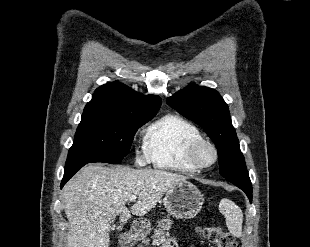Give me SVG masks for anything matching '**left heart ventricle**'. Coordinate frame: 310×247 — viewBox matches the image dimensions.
Returning a JSON list of instances; mask_svg holds the SVG:
<instances>
[{"mask_svg":"<svg viewBox=\"0 0 310 247\" xmlns=\"http://www.w3.org/2000/svg\"><path fill=\"white\" fill-rule=\"evenodd\" d=\"M213 152L212 150L207 147V146H204L200 149V151L198 152V161L202 164H209L213 161Z\"/></svg>","mask_w":310,"mask_h":247,"instance_id":"1","label":"left heart ventricle"}]
</instances>
